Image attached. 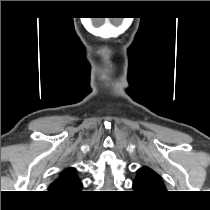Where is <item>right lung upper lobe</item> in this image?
I'll list each match as a JSON object with an SVG mask.
<instances>
[{"label":"right lung upper lobe","instance_id":"1","mask_svg":"<svg viewBox=\"0 0 210 210\" xmlns=\"http://www.w3.org/2000/svg\"><path fill=\"white\" fill-rule=\"evenodd\" d=\"M82 183L74 168L64 169L49 186V192L56 195H72L80 192Z\"/></svg>","mask_w":210,"mask_h":210}]
</instances>
